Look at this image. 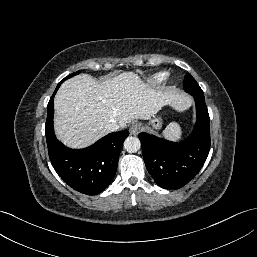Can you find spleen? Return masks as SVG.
Segmentation results:
<instances>
[{"mask_svg":"<svg viewBox=\"0 0 257 257\" xmlns=\"http://www.w3.org/2000/svg\"><path fill=\"white\" fill-rule=\"evenodd\" d=\"M162 135L169 140H180L182 137V129L178 123L172 122L163 131Z\"/></svg>","mask_w":257,"mask_h":257,"instance_id":"obj_1","label":"spleen"}]
</instances>
